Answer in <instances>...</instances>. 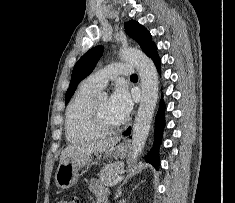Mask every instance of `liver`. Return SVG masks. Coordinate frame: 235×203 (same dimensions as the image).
I'll return each instance as SVG.
<instances>
[{
	"label": "liver",
	"mask_w": 235,
	"mask_h": 203,
	"mask_svg": "<svg viewBox=\"0 0 235 203\" xmlns=\"http://www.w3.org/2000/svg\"><path fill=\"white\" fill-rule=\"evenodd\" d=\"M119 141L120 138L116 137L107 140L69 145L61 152L60 163L71 156L101 154L113 148Z\"/></svg>",
	"instance_id": "1"
}]
</instances>
